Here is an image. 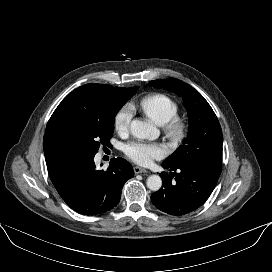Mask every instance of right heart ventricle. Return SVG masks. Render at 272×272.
<instances>
[{"mask_svg": "<svg viewBox=\"0 0 272 272\" xmlns=\"http://www.w3.org/2000/svg\"><path fill=\"white\" fill-rule=\"evenodd\" d=\"M137 107L158 125L165 124L179 111L176 101L164 93H153L143 97L137 103Z\"/></svg>", "mask_w": 272, "mask_h": 272, "instance_id": "1", "label": "right heart ventricle"}]
</instances>
